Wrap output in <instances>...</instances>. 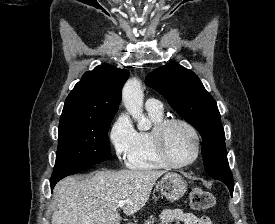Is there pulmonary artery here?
<instances>
[{
  "instance_id": "pulmonary-artery-1",
  "label": "pulmonary artery",
  "mask_w": 275,
  "mask_h": 224,
  "mask_svg": "<svg viewBox=\"0 0 275 224\" xmlns=\"http://www.w3.org/2000/svg\"><path fill=\"white\" fill-rule=\"evenodd\" d=\"M145 106H146L147 110L163 111L162 103L158 99H155V98L147 99Z\"/></svg>"
}]
</instances>
